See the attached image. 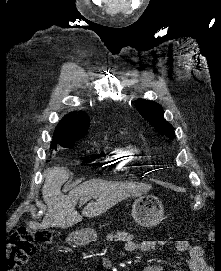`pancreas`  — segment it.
Returning <instances> with one entry per match:
<instances>
[{"label":"pancreas","instance_id":"pancreas-1","mask_svg":"<svg viewBox=\"0 0 221 271\" xmlns=\"http://www.w3.org/2000/svg\"><path fill=\"white\" fill-rule=\"evenodd\" d=\"M105 242H134V237H127L126 231H116V233H108Z\"/></svg>","mask_w":221,"mask_h":271}]
</instances>
